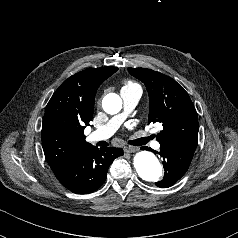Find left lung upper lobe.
<instances>
[{"instance_id":"1","label":"left lung upper lobe","mask_w":238,"mask_h":238,"mask_svg":"<svg viewBox=\"0 0 238 238\" xmlns=\"http://www.w3.org/2000/svg\"><path fill=\"white\" fill-rule=\"evenodd\" d=\"M148 91V122H159L163 130L157 134L160 145L195 150L198 143V117L188 93L172 78L146 68H128Z\"/></svg>"}]
</instances>
